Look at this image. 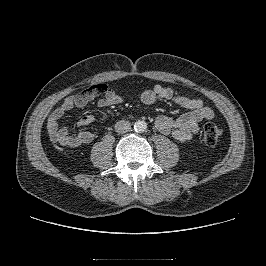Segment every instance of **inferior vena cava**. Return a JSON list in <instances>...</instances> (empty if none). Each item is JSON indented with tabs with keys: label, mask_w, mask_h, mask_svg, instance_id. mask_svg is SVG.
<instances>
[{
	"label": "inferior vena cava",
	"mask_w": 266,
	"mask_h": 266,
	"mask_svg": "<svg viewBox=\"0 0 266 266\" xmlns=\"http://www.w3.org/2000/svg\"><path fill=\"white\" fill-rule=\"evenodd\" d=\"M130 129L131 125L128 121L121 120L115 124V131L119 134H125L129 132Z\"/></svg>",
	"instance_id": "obj_1"
}]
</instances>
